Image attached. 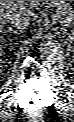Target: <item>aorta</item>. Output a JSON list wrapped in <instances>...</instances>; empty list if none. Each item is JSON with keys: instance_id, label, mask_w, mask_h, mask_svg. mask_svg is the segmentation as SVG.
<instances>
[{"instance_id": "obj_1", "label": "aorta", "mask_w": 74, "mask_h": 122, "mask_svg": "<svg viewBox=\"0 0 74 122\" xmlns=\"http://www.w3.org/2000/svg\"><path fill=\"white\" fill-rule=\"evenodd\" d=\"M39 57L46 64H55L62 58V51L55 42L45 40L39 45Z\"/></svg>"}]
</instances>
